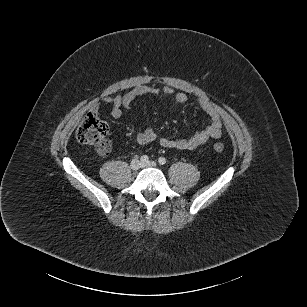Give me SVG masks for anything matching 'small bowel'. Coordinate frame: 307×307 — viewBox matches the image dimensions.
Instances as JSON below:
<instances>
[{"mask_svg": "<svg viewBox=\"0 0 307 307\" xmlns=\"http://www.w3.org/2000/svg\"><path fill=\"white\" fill-rule=\"evenodd\" d=\"M161 91L164 95L172 96L177 104H185L188 101L185 93H175L170 87H164ZM159 92L160 90L158 88L139 85L125 94L106 97L100 104L110 106L111 116L113 118H120L123 110L131 108L136 98L146 95H156ZM100 104H96L93 110L97 111ZM197 105L209 118V123L203 129L195 132L186 139L172 140L166 137L160 138L159 144L162 147L177 150H194L211 139L220 138L222 134V121L216 108L210 102L203 99H199ZM155 139L156 134L151 128H145L136 135V141L139 144H146Z\"/></svg>", "mask_w": 307, "mask_h": 307, "instance_id": "1", "label": "small bowel"}]
</instances>
